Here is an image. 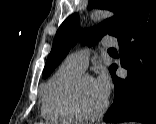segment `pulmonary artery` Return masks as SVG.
Returning <instances> with one entry per match:
<instances>
[{
	"label": "pulmonary artery",
	"mask_w": 156,
	"mask_h": 124,
	"mask_svg": "<svg viewBox=\"0 0 156 124\" xmlns=\"http://www.w3.org/2000/svg\"><path fill=\"white\" fill-rule=\"evenodd\" d=\"M102 45L105 47H112L117 45V40L111 37H105L102 41ZM89 57L90 50L88 48H83L69 54L64 62L68 66L83 72L88 66Z\"/></svg>",
	"instance_id": "1"
}]
</instances>
